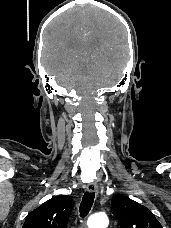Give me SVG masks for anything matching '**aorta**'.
<instances>
[{"label": "aorta", "mask_w": 171, "mask_h": 228, "mask_svg": "<svg viewBox=\"0 0 171 228\" xmlns=\"http://www.w3.org/2000/svg\"><path fill=\"white\" fill-rule=\"evenodd\" d=\"M109 220L103 213L93 214L89 217L87 225L89 228H107Z\"/></svg>", "instance_id": "762f6f07"}]
</instances>
